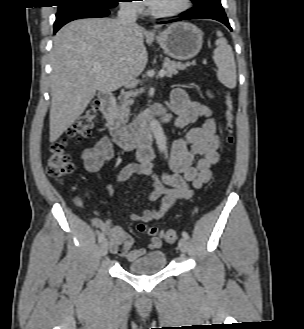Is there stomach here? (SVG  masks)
I'll return each mask as SVG.
<instances>
[{"instance_id":"1","label":"stomach","mask_w":304,"mask_h":329,"mask_svg":"<svg viewBox=\"0 0 304 329\" xmlns=\"http://www.w3.org/2000/svg\"><path fill=\"white\" fill-rule=\"evenodd\" d=\"M156 40L168 56L177 60H188L201 50L203 33L191 23L177 22L161 32Z\"/></svg>"}]
</instances>
